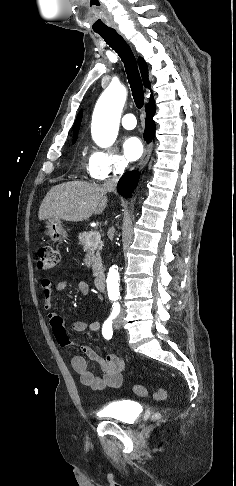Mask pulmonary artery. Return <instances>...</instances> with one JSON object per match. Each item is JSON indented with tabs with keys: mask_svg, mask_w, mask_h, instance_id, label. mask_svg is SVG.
Here are the masks:
<instances>
[{
	"mask_svg": "<svg viewBox=\"0 0 236 486\" xmlns=\"http://www.w3.org/2000/svg\"><path fill=\"white\" fill-rule=\"evenodd\" d=\"M121 124L125 129H134L136 126L135 116L131 113L125 114L121 119Z\"/></svg>",
	"mask_w": 236,
	"mask_h": 486,
	"instance_id": "e3ab8cb5",
	"label": "pulmonary artery"
}]
</instances>
